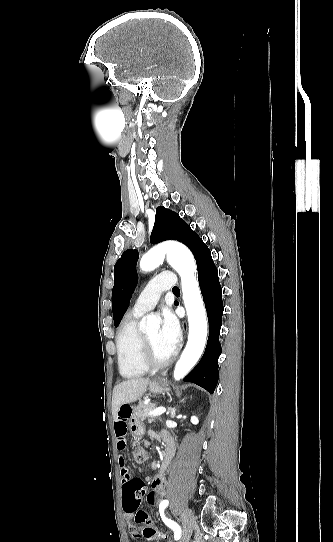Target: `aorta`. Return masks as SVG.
Listing matches in <instances>:
<instances>
[{
  "mask_svg": "<svg viewBox=\"0 0 333 542\" xmlns=\"http://www.w3.org/2000/svg\"><path fill=\"white\" fill-rule=\"evenodd\" d=\"M163 254H167L170 266L178 272L181 278L184 306L188 316V342L173 372L174 380H183L190 370L194 368L204 352L207 342V318L196 280L195 260L186 246L178 244V242H169L164 250L162 248L150 250L140 260L141 270L143 272H152V270L158 268L163 262ZM156 322L155 316H146V318H142L140 328L147 330V328L155 326Z\"/></svg>",
  "mask_w": 333,
  "mask_h": 542,
  "instance_id": "aorta-1",
  "label": "aorta"
}]
</instances>
